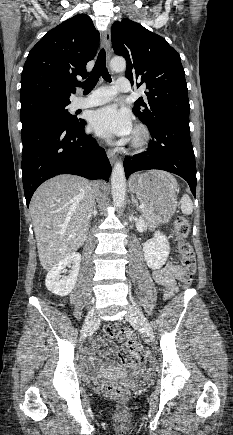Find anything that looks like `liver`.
Instances as JSON below:
<instances>
[{
	"instance_id": "6515ba94",
	"label": "liver",
	"mask_w": 233,
	"mask_h": 435,
	"mask_svg": "<svg viewBox=\"0 0 233 435\" xmlns=\"http://www.w3.org/2000/svg\"><path fill=\"white\" fill-rule=\"evenodd\" d=\"M94 206L91 184L79 176H56L35 191L29 209L44 270L83 245Z\"/></svg>"
}]
</instances>
